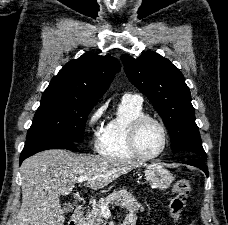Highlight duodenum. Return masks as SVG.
<instances>
[{
    "label": "duodenum",
    "instance_id": "obj_1",
    "mask_svg": "<svg viewBox=\"0 0 228 225\" xmlns=\"http://www.w3.org/2000/svg\"><path fill=\"white\" fill-rule=\"evenodd\" d=\"M84 211H85V205L83 203L77 204L67 225H82V217H83ZM123 225H136L135 219L131 216H128L125 219Z\"/></svg>",
    "mask_w": 228,
    "mask_h": 225
}]
</instances>
